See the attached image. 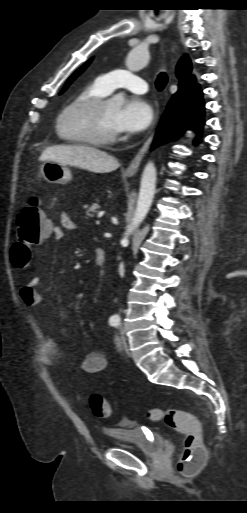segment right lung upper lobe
<instances>
[{"label": "right lung upper lobe", "instance_id": "right-lung-upper-lobe-1", "mask_svg": "<svg viewBox=\"0 0 247 513\" xmlns=\"http://www.w3.org/2000/svg\"><path fill=\"white\" fill-rule=\"evenodd\" d=\"M191 62L187 54H185L178 62L176 67V75L180 80L179 90H186L195 87V77L191 75Z\"/></svg>", "mask_w": 247, "mask_h": 513}]
</instances>
